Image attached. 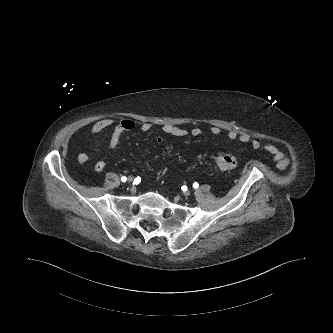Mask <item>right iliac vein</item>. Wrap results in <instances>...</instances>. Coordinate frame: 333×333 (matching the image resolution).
Masks as SVG:
<instances>
[{
    "label": "right iliac vein",
    "instance_id": "1",
    "mask_svg": "<svg viewBox=\"0 0 333 333\" xmlns=\"http://www.w3.org/2000/svg\"><path fill=\"white\" fill-rule=\"evenodd\" d=\"M127 182H129V183L133 182V177H132V176H129V177L127 178Z\"/></svg>",
    "mask_w": 333,
    "mask_h": 333
}]
</instances>
